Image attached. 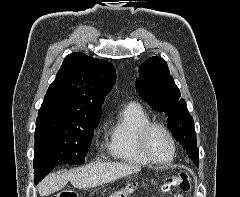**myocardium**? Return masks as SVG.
Returning <instances> with one entry per match:
<instances>
[{
    "instance_id": "obj_1",
    "label": "myocardium",
    "mask_w": 240,
    "mask_h": 197,
    "mask_svg": "<svg viewBox=\"0 0 240 197\" xmlns=\"http://www.w3.org/2000/svg\"><path fill=\"white\" fill-rule=\"evenodd\" d=\"M155 128L162 129L166 133V135L168 136V138L170 139L171 144H172L171 157L165 161L157 160L150 152V149L148 146L149 134ZM138 142H139V147H140L142 154L150 161V163H153L155 165H159V166L169 165L170 163H172L174 161V159L176 157V154H177L176 139H175L173 133L171 132V130L163 123L150 121L149 123L145 124L139 131Z\"/></svg>"
}]
</instances>
